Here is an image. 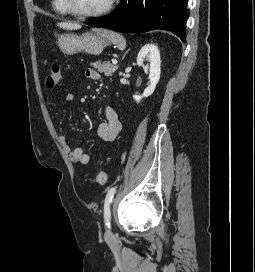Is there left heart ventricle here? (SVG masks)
<instances>
[{
  "label": "left heart ventricle",
  "instance_id": "b2bd125f",
  "mask_svg": "<svg viewBox=\"0 0 255 272\" xmlns=\"http://www.w3.org/2000/svg\"><path fill=\"white\" fill-rule=\"evenodd\" d=\"M108 0H71L73 7L83 13L94 12L105 6Z\"/></svg>",
  "mask_w": 255,
  "mask_h": 272
}]
</instances>
